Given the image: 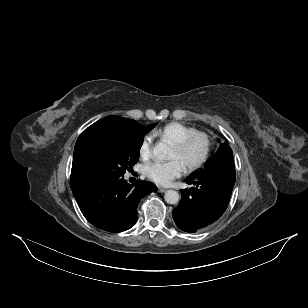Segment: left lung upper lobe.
Segmentation results:
<instances>
[{
    "label": "left lung upper lobe",
    "mask_w": 308,
    "mask_h": 308,
    "mask_svg": "<svg viewBox=\"0 0 308 308\" xmlns=\"http://www.w3.org/2000/svg\"><path fill=\"white\" fill-rule=\"evenodd\" d=\"M229 159L233 160V152L230 146L227 143H224L220 145L217 153L208 159V161L205 164V167H208L219 161L229 160Z\"/></svg>",
    "instance_id": "5c2ea615"
}]
</instances>
